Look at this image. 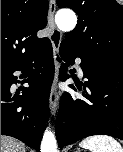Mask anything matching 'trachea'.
Masks as SVG:
<instances>
[{"label":"trachea","instance_id":"1","mask_svg":"<svg viewBox=\"0 0 123 152\" xmlns=\"http://www.w3.org/2000/svg\"><path fill=\"white\" fill-rule=\"evenodd\" d=\"M57 59H58L59 61H61L59 57H57Z\"/></svg>","mask_w":123,"mask_h":152}]
</instances>
